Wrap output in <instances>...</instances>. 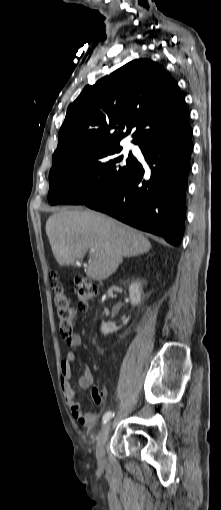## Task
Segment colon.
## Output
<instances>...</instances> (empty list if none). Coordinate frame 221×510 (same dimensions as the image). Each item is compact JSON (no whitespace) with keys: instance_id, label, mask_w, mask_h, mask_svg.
Listing matches in <instances>:
<instances>
[{"instance_id":"obj_1","label":"colon","mask_w":221,"mask_h":510,"mask_svg":"<svg viewBox=\"0 0 221 510\" xmlns=\"http://www.w3.org/2000/svg\"><path fill=\"white\" fill-rule=\"evenodd\" d=\"M53 279L52 289L54 292V303L56 307V314L59 322V330L64 338L72 336L74 331V319L77 314V310L85 311L88 308L89 303L96 296L98 288L95 282L91 279L78 275L75 278L74 292L77 298V309L73 307L72 301L69 295L65 292L62 284L58 280V275L52 273ZM94 401L97 404L104 402L103 396L98 389L94 388L92 391Z\"/></svg>"}]
</instances>
